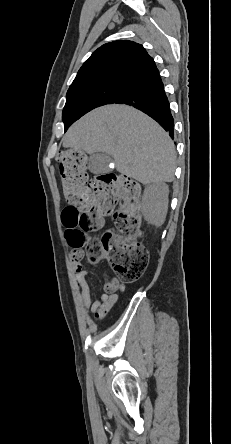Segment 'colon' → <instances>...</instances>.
<instances>
[{
    "label": "colon",
    "mask_w": 231,
    "mask_h": 444,
    "mask_svg": "<svg viewBox=\"0 0 231 444\" xmlns=\"http://www.w3.org/2000/svg\"><path fill=\"white\" fill-rule=\"evenodd\" d=\"M64 196L68 202L62 213L66 229L81 234L99 230L104 218L113 214L116 231L101 238H85L84 255L90 264L105 257L113 270L104 281L106 294L121 283H132L144 274L149 254L136 237L140 234L139 202L141 189L134 179L112 173L89 179L86 156L76 150L62 151L57 159Z\"/></svg>",
    "instance_id": "5ec220e1"
}]
</instances>
